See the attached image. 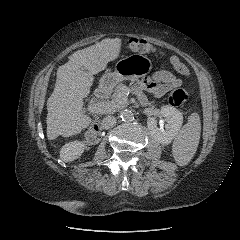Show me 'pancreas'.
Segmentation results:
<instances>
[{
  "label": "pancreas",
  "instance_id": "1",
  "mask_svg": "<svg viewBox=\"0 0 240 240\" xmlns=\"http://www.w3.org/2000/svg\"><path fill=\"white\" fill-rule=\"evenodd\" d=\"M124 87L125 86L123 84H119L114 89V93L111 95L112 100L109 101V102H114L115 103V106H114L115 110H119L121 108H124L129 104L128 96L123 91Z\"/></svg>",
  "mask_w": 240,
  "mask_h": 240
}]
</instances>
